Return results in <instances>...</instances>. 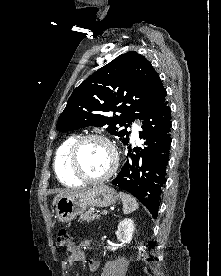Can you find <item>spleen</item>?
Returning <instances> with one entry per match:
<instances>
[{"label":"spleen","instance_id":"spleen-1","mask_svg":"<svg viewBox=\"0 0 221 276\" xmlns=\"http://www.w3.org/2000/svg\"><path fill=\"white\" fill-rule=\"evenodd\" d=\"M119 195L123 203L124 214H130L138 209V203L132 196L124 192H120Z\"/></svg>","mask_w":221,"mask_h":276}]
</instances>
